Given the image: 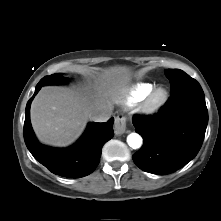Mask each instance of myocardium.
I'll list each match as a JSON object with an SVG mask.
<instances>
[{
  "mask_svg": "<svg viewBox=\"0 0 221 221\" xmlns=\"http://www.w3.org/2000/svg\"><path fill=\"white\" fill-rule=\"evenodd\" d=\"M169 92L163 86L155 87L144 99L142 110L146 114L157 113L168 101Z\"/></svg>",
  "mask_w": 221,
  "mask_h": 221,
  "instance_id": "obj_1",
  "label": "myocardium"
}]
</instances>
